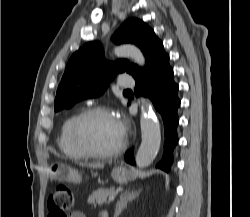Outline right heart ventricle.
Returning a JSON list of instances; mask_svg holds the SVG:
<instances>
[{
  "mask_svg": "<svg viewBox=\"0 0 250 217\" xmlns=\"http://www.w3.org/2000/svg\"><path fill=\"white\" fill-rule=\"evenodd\" d=\"M77 114L68 116L61 125L58 136V147L60 151L71 159H82L86 157L75 145L72 139L71 128Z\"/></svg>",
  "mask_w": 250,
  "mask_h": 217,
  "instance_id": "1",
  "label": "right heart ventricle"
}]
</instances>
